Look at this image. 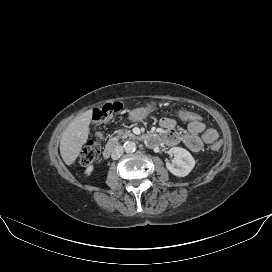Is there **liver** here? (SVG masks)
<instances>
[{"mask_svg":"<svg viewBox=\"0 0 272 272\" xmlns=\"http://www.w3.org/2000/svg\"><path fill=\"white\" fill-rule=\"evenodd\" d=\"M92 112L89 110L76 117L64 130L60 140V153L63 161L71 165L79 156L89 134Z\"/></svg>","mask_w":272,"mask_h":272,"instance_id":"1","label":"liver"}]
</instances>
